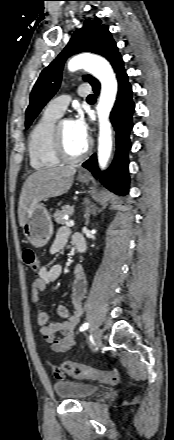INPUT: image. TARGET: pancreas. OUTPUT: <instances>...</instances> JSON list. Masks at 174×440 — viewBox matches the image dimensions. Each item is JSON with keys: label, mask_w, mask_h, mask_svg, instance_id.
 I'll return each mask as SVG.
<instances>
[{"label": "pancreas", "mask_w": 174, "mask_h": 440, "mask_svg": "<svg viewBox=\"0 0 174 440\" xmlns=\"http://www.w3.org/2000/svg\"><path fill=\"white\" fill-rule=\"evenodd\" d=\"M73 213H74V207L66 205V206H63L61 208V210L56 211L54 213L53 217H54L56 223L63 225V224L66 223V220L64 219V216L65 215L72 216Z\"/></svg>", "instance_id": "pancreas-1"}]
</instances>
